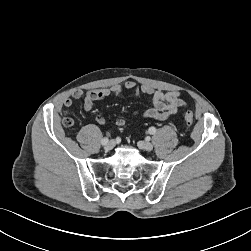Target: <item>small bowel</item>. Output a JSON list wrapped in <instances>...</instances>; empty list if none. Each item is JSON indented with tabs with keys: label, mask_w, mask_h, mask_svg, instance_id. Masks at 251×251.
Instances as JSON below:
<instances>
[{
	"label": "small bowel",
	"mask_w": 251,
	"mask_h": 251,
	"mask_svg": "<svg viewBox=\"0 0 251 251\" xmlns=\"http://www.w3.org/2000/svg\"><path fill=\"white\" fill-rule=\"evenodd\" d=\"M124 91H130L135 96L143 93L151 97V108L133 113V115H140L143 119L167 120L176 115L180 109L186 107V102L181 98L179 92L170 91L164 93L150 85L140 86L133 80H128L124 84H115L106 88H97L88 91L75 90L69 98L65 99L64 105L65 107H70L73 100L83 98V108L86 111H91L96 101L103 100L111 95H119ZM95 120L100 125L106 123V119L101 114H96ZM125 123V120L122 118L116 120V125L119 127L125 126Z\"/></svg>",
	"instance_id": "small-bowel-1"
}]
</instances>
